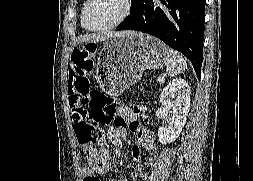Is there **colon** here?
<instances>
[{
    "label": "colon",
    "mask_w": 253,
    "mask_h": 181,
    "mask_svg": "<svg viewBox=\"0 0 253 181\" xmlns=\"http://www.w3.org/2000/svg\"><path fill=\"white\" fill-rule=\"evenodd\" d=\"M97 41H86L84 48H74L72 60L84 55H96ZM72 119L77 142L87 151V166L105 167L109 160L104 142L103 125L108 124L116 113L115 101L98 90H91L70 100Z\"/></svg>",
    "instance_id": "1"
}]
</instances>
